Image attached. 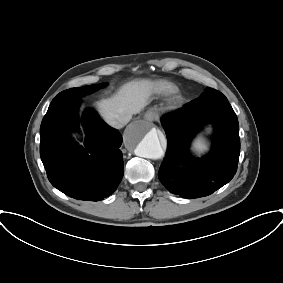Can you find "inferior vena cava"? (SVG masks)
<instances>
[{
    "mask_svg": "<svg viewBox=\"0 0 283 283\" xmlns=\"http://www.w3.org/2000/svg\"><path fill=\"white\" fill-rule=\"evenodd\" d=\"M109 125L116 128L121 129L127 123L126 120H110L108 121Z\"/></svg>",
    "mask_w": 283,
    "mask_h": 283,
    "instance_id": "obj_1",
    "label": "inferior vena cava"
}]
</instances>
